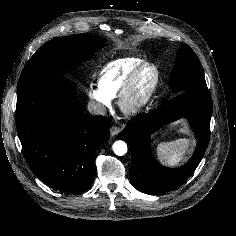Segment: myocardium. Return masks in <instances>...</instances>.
<instances>
[{"label": "myocardium", "mask_w": 236, "mask_h": 236, "mask_svg": "<svg viewBox=\"0 0 236 236\" xmlns=\"http://www.w3.org/2000/svg\"><path fill=\"white\" fill-rule=\"evenodd\" d=\"M151 67L155 71V79L148 92L138 101L132 102V94L134 92L136 81L142 71ZM161 84V71L159 67L152 62H144L139 65L127 78L119 95L118 106L120 110L127 116L134 117L143 114L153 103Z\"/></svg>", "instance_id": "myocardium-1"}]
</instances>
